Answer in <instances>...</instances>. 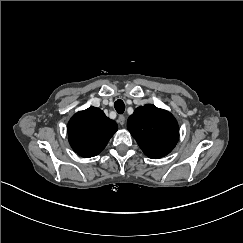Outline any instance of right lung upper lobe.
<instances>
[{"mask_svg":"<svg viewBox=\"0 0 243 243\" xmlns=\"http://www.w3.org/2000/svg\"><path fill=\"white\" fill-rule=\"evenodd\" d=\"M117 129L115 121L107 118L102 110L89 107L76 113L69 121V143L78 155L93 157L105 148Z\"/></svg>","mask_w":243,"mask_h":243,"instance_id":"obj_1","label":"right lung upper lobe"}]
</instances>
